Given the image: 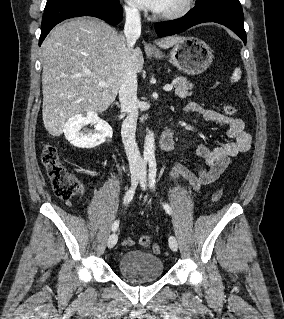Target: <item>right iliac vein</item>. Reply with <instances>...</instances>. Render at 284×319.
I'll list each match as a JSON object with an SVG mask.
<instances>
[{
    "instance_id": "obj_1",
    "label": "right iliac vein",
    "mask_w": 284,
    "mask_h": 319,
    "mask_svg": "<svg viewBox=\"0 0 284 319\" xmlns=\"http://www.w3.org/2000/svg\"><path fill=\"white\" fill-rule=\"evenodd\" d=\"M138 178H139V172L136 170L133 171L131 174L132 185H136ZM117 240H118L117 234L114 233V234L110 235L108 238V241H107L108 248H113L116 245Z\"/></svg>"
}]
</instances>
